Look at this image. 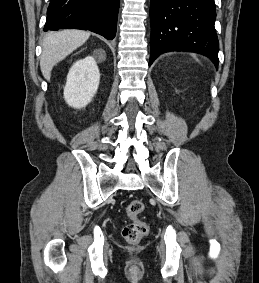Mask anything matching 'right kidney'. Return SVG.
<instances>
[{
    "instance_id": "ca27d5eb",
    "label": "right kidney",
    "mask_w": 259,
    "mask_h": 283,
    "mask_svg": "<svg viewBox=\"0 0 259 283\" xmlns=\"http://www.w3.org/2000/svg\"><path fill=\"white\" fill-rule=\"evenodd\" d=\"M100 82V73L93 56L76 61L67 75L64 87L66 103L76 109L87 106L95 96Z\"/></svg>"
}]
</instances>
